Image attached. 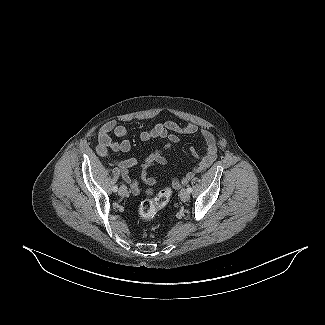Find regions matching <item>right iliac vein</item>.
<instances>
[{
    "mask_svg": "<svg viewBox=\"0 0 325 325\" xmlns=\"http://www.w3.org/2000/svg\"><path fill=\"white\" fill-rule=\"evenodd\" d=\"M118 193L120 196H125L127 194V187L125 185H121Z\"/></svg>",
    "mask_w": 325,
    "mask_h": 325,
    "instance_id": "right-iliac-vein-1",
    "label": "right iliac vein"
}]
</instances>
